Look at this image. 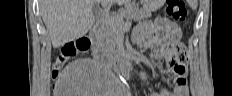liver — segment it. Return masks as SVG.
I'll list each match as a JSON object with an SVG mask.
<instances>
[{"label":"liver","instance_id":"liver-1","mask_svg":"<svg viewBox=\"0 0 232 96\" xmlns=\"http://www.w3.org/2000/svg\"><path fill=\"white\" fill-rule=\"evenodd\" d=\"M127 0H40L43 21L54 48L84 36L93 26V6L117 3Z\"/></svg>","mask_w":232,"mask_h":96}]
</instances>
